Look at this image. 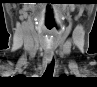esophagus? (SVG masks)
<instances>
[{
  "label": "esophagus",
  "mask_w": 97,
  "mask_h": 87,
  "mask_svg": "<svg viewBox=\"0 0 97 87\" xmlns=\"http://www.w3.org/2000/svg\"><path fill=\"white\" fill-rule=\"evenodd\" d=\"M53 59V53L52 52H46L45 55H44V66H47L48 64L51 63Z\"/></svg>",
  "instance_id": "34e87169"
}]
</instances>
